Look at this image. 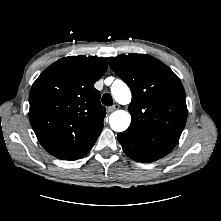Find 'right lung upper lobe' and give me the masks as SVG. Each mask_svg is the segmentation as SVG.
Masks as SVG:
<instances>
[{"label":"right lung upper lobe","instance_id":"cb5924a9","mask_svg":"<svg viewBox=\"0 0 221 221\" xmlns=\"http://www.w3.org/2000/svg\"><path fill=\"white\" fill-rule=\"evenodd\" d=\"M106 70L101 57H65L32 85L30 123L40 144L54 157L68 159L80 153L101 133L106 112L94 83Z\"/></svg>","mask_w":221,"mask_h":221}]
</instances>
